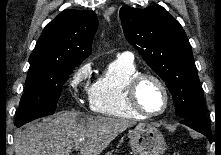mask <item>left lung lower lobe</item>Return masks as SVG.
<instances>
[{"label": "left lung lower lobe", "instance_id": "0a47b994", "mask_svg": "<svg viewBox=\"0 0 221 155\" xmlns=\"http://www.w3.org/2000/svg\"><path fill=\"white\" fill-rule=\"evenodd\" d=\"M180 123L189 126L190 128L206 135L209 141H212L211 129L206 122L202 119L186 118L180 121Z\"/></svg>", "mask_w": 221, "mask_h": 155}]
</instances>
